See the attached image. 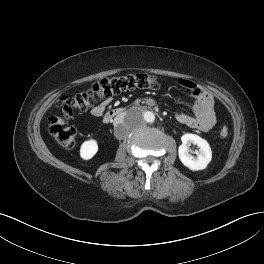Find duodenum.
<instances>
[{
    "label": "duodenum",
    "mask_w": 264,
    "mask_h": 264,
    "mask_svg": "<svg viewBox=\"0 0 264 264\" xmlns=\"http://www.w3.org/2000/svg\"><path fill=\"white\" fill-rule=\"evenodd\" d=\"M125 112H126V109L123 107H116V108L110 109L105 114L104 121L109 122L113 120L115 117L125 114Z\"/></svg>",
    "instance_id": "obj_1"
}]
</instances>
